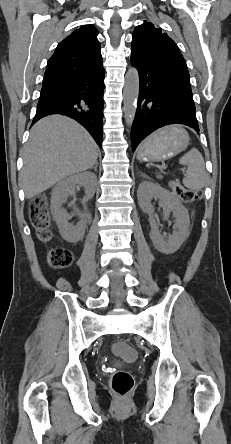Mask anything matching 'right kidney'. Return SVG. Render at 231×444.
<instances>
[{
    "instance_id": "obj_1",
    "label": "right kidney",
    "mask_w": 231,
    "mask_h": 444,
    "mask_svg": "<svg viewBox=\"0 0 231 444\" xmlns=\"http://www.w3.org/2000/svg\"><path fill=\"white\" fill-rule=\"evenodd\" d=\"M97 178L91 172H82L71 176L59 182L52 190L51 195V211L61 236L68 242H76L80 240L87 228V220H81L77 225L68 222L70 216L63 204L68 197L75 195L76 185L85 188V200H89L94 196Z\"/></svg>"
}]
</instances>
